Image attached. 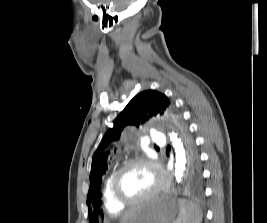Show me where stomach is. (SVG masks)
<instances>
[{"label": "stomach", "mask_w": 267, "mask_h": 223, "mask_svg": "<svg viewBox=\"0 0 267 223\" xmlns=\"http://www.w3.org/2000/svg\"><path fill=\"white\" fill-rule=\"evenodd\" d=\"M179 205L169 194L155 196L135 207L125 223H176Z\"/></svg>", "instance_id": "stomach-1"}]
</instances>
